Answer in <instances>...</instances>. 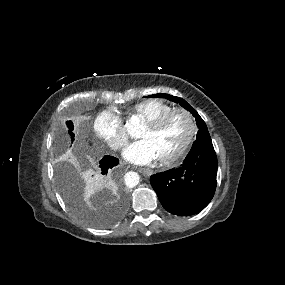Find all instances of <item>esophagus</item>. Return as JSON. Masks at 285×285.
I'll return each mask as SVG.
<instances>
[{
  "label": "esophagus",
  "instance_id": "esophagus-1",
  "mask_svg": "<svg viewBox=\"0 0 285 285\" xmlns=\"http://www.w3.org/2000/svg\"><path fill=\"white\" fill-rule=\"evenodd\" d=\"M139 171L144 175V176H150L153 173V170L148 169V168H140Z\"/></svg>",
  "mask_w": 285,
  "mask_h": 285
}]
</instances>
